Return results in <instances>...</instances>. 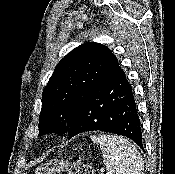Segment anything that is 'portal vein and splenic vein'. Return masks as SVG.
Wrapping results in <instances>:
<instances>
[{
    "mask_svg": "<svg viewBox=\"0 0 175 174\" xmlns=\"http://www.w3.org/2000/svg\"><path fill=\"white\" fill-rule=\"evenodd\" d=\"M104 171V169H101V172H103Z\"/></svg>",
    "mask_w": 175,
    "mask_h": 174,
    "instance_id": "portal-vein-and-splenic-vein-1",
    "label": "portal vein and splenic vein"
}]
</instances>
